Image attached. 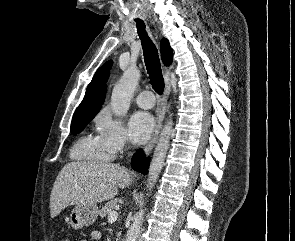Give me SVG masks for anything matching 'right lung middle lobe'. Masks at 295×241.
I'll list each match as a JSON object with an SVG mask.
<instances>
[{
    "mask_svg": "<svg viewBox=\"0 0 295 241\" xmlns=\"http://www.w3.org/2000/svg\"><path fill=\"white\" fill-rule=\"evenodd\" d=\"M99 110L93 112H81L73 115L71 132L78 134L84 130L86 125L95 117Z\"/></svg>",
    "mask_w": 295,
    "mask_h": 241,
    "instance_id": "obj_1",
    "label": "right lung middle lobe"
}]
</instances>
